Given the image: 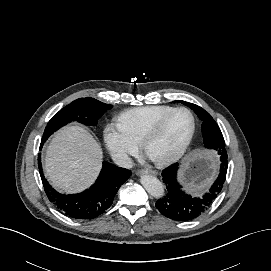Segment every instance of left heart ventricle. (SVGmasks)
I'll use <instances>...</instances> for the list:
<instances>
[{
	"label": "left heart ventricle",
	"mask_w": 271,
	"mask_h": 271,
	"mask_svg": "<svg viewBox=\"0 0 271 271\" xmlns=\"http://www.w3.org/2000/svg\"><path fill=\"white\" fill-rule=\"evenodd\" d=\"M191 128L192 120L187 112L179 111L173 114L149 145L148 154L152 157H163L175 152L187 140Z\"/></svg>",
	"instance_id": "b2bd125f"
}]
</instances>
